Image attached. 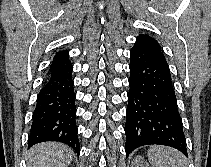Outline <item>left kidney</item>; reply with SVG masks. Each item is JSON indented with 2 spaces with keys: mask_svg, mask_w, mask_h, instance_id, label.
<instances>
[{
  "mask_svg": "<svg viewBox=\"0 0 211 167\" xmlns=\"http://www.w3.org/2000/svg\"><path fill=\"white\" fill-rule=\"evenodd\" d=\"M131 167H149L142 156H136L131 163Z\"/></svg>",
  "mask_w": 211,
  "mask_h": 167,
  "instance_id": "5707ae66",
  "label": "left kidney"
}]
</instances>
